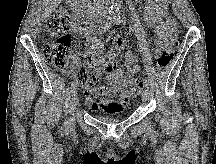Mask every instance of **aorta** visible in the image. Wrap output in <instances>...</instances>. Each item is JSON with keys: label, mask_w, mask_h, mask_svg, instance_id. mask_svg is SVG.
Masks as SVG:
<instances>
[{"label": "aorta", "mask_w": 216, "mask_h": 164, "mask_svg": "<svg viewBox=\"0 0 216 164\" xmlns=\"http://www.w3.org/2000/svg\"><path fill=\"white\" fill-rule=\"evenodd\" d=\"M111 1V3L113 4L112 6V14H116L118 11V4H117V0H109Z\"/></svg>", "instance_id": "1"}]
</instances>
